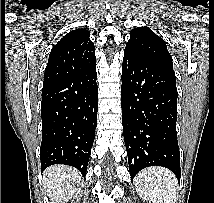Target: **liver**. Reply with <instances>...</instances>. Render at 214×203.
I'll return each instance as SVG.
<instances>
[{"mask_svg": "<svg viewBox=\"0 0 214 203\" xmlns=\"http://www.w3.org/2000/svg\"><path fill=\"white\" fill-rule=\"evenodd\" d=\"M80 181V173L75 168L65 165L50 166L43 174V187L50 203L68 202L77 191V187L71 182L79 184Z\"/></svg>", "mask_w": 214, "mask_h": 203, "instance_id": "liver-1", "label": "liver"}]
</instances>
